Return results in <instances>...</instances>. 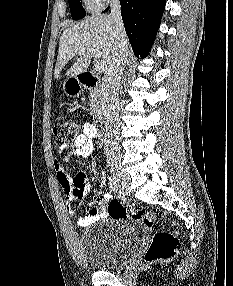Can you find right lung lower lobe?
I'll list each match as a JSON object with an SVG mask.
<instances>
[{
	"mask_svg": "<svg viewBox=\"0 0 233 286\" xmlns=\"http://www.w3.org/2000/svg\"><path fill=\"white\" fill-rule=\"evenodd\" d=\"M165 2L166 0H120L126 34L137 57L140 55L145 58L148 55L160 26Z\"/></svg>",
	"mask_w": 233,
	"mask_h": 286,
	"instance_id": "obj_1",
	"label": "right lung lower lobe"
}]
</instances>
